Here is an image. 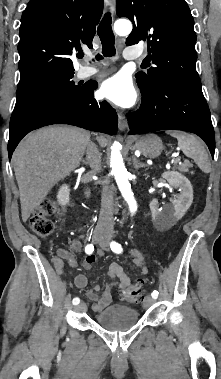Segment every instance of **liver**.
Returning a JSON list of instances; mask_svg holds the SVG:
<instances>
[{"label": "liver", "instance_id": "obj_1", "mask_svg": "<svg viewBox=\"0 0 221 379\" xmlns=\"http://www.w3.org/2000/svg\"><path fill=\"white\" fill-rule=\"evenodd\" d=\"M89 132L75 127L49 126L27 135L12 156L19 187L21 214L26 222L52 187L79 167ZM101 146L106 138L97 137Z\"/></svg>", "mask_w": 221, "mask_h": 379}]
</instances>
